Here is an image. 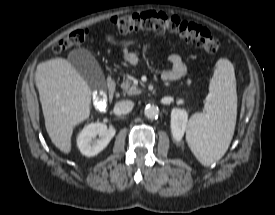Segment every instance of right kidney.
Masks as SVG:
<instances>
[{
  "instance_id": "ca27d5eb",
  "label": "right kidney",
  "mask_w": 275,
  "mask_h": 215,
  "mask_svg": "<svg viewBox=\"0 0 275 215\" xmlns=\"http://www.w3.org/2000/svg\"><path fill=\"white\" fill-rule=\"evenodd\" d=\"M114 135V128H108L104 123H91L79 133L77 145L83 155L95 156L109 144Z\"/></svg>"
}]
</instances>
